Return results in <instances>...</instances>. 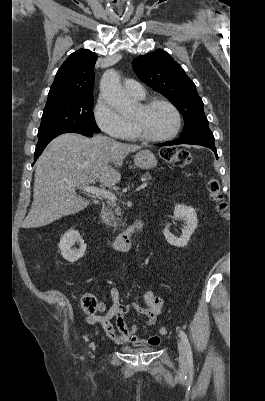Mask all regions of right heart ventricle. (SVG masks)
Instances as JSON below:
<instances>
[{
    "label": "right heart ventricle",
    "mask_w": 265,
    "mask_h": 401,
    "mask_svg": "<svg viewBox=\"0 0 265 401\" xmlns=\"http://www.w3.org/2000/svg\"><path fill=\"white\" fill-rule=\"evenodd\" d=\"M136 98L143 99L144 96L143 97H136ZM127 122H129L131 124V129H130L129 133L126 136L119 137L118 139L130 140V139H133V138L138 136L137 133L135 132V128H134L133 122L132 121H127Z\"/></svg>",
    "instance_id": "obj_1"
}]
</instances>
